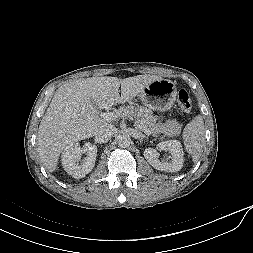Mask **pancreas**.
Here are the masks:
<instances>
[{"mask_svg": "<svg viewBox=\"0 0 253 253\" xmlns=\"http://www.w3.org/2000/svg\"><path fill=\"white\" fill-rule=\"evenodd\" d=\"M117 115L122 118L135 120L136 125L148 128L153 136H158L162 133L173 137L179 136L181 133L182 125L176 120L161 123L158 121V117L153 115L151 109L143 106L135 107L133 105H123L117 110Z\"/></svg>", "mask_w": 253, "mask_h": 253, "instance_id": "1", "label": "pancreas"}]
</instances>
